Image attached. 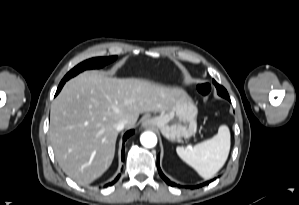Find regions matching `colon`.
Listing matches in <instances>:
<instances>
[{
	"instance_id": "obj_1",
	"label": "colon",
	"mask_w": 299,
	"mask_h": 205,
	"mask_svg": "<svg viewBox=\"0 0 299 205\" xmlns=\"http://www.w3.org/2000/svg\"><path fill=\"white\" fill-rule=\"evenodd\" d=\"M197 89L199 94L204 98V100H208V97L211 92V86L208 83H200Z\"/></svg>"
}]
</instances>
